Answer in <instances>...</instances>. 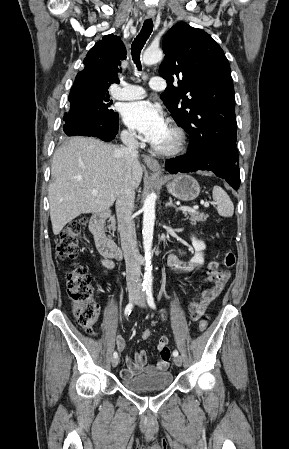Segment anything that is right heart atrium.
<instances>
[{
  "label": "right heart atrium",
  "instance_id": "d8ad5b80",
  "mask_svg": "<svg viewBox=\"0 0 289 449\" xmlns=\"http://www.w3.org/2000/svg\"><path fill=\"white\" fill-rule=\"evenodd\" d=\"M123 138L127 142H132L134 140V136L130 131H124Z\"/></svg>",
  "mask_w": 289,
  "mask_h": 449
}]
</instances>
